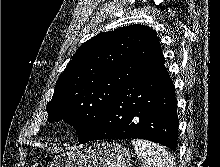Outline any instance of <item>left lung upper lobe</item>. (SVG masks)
<instances>
[{
  "label": "left lung upper lobe",
  "mask_w": 220,
  "mask_h": 167,
  "mask_svg": "<svg viewBox=\"0 0 220 167\" xmlns=\"http://www.w3.org/2000/svg\"><path fill=\"white\" fill-rule=\"evenodd\" d=\"M164 62L159 38L145 25L103 32L67 64L47 105L48 121L73 125L78 141L94 135L119 89Z\"/></svg>",
  "instance_id": "obj_1"
}]
</instances>
